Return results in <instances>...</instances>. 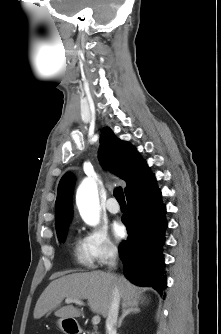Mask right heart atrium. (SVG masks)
I'll return each instance as SVG.
<instances>
[{
	"label": "right heart atrium",
	"instance_id": "1",
	"mask_svg": "<svg viewBox=\"0 0 221 334\" xmlns=\"http://www.w3.org/2000/svg\"><path fill=\"white\" fill-rule=\"evenodd\" d=\"M84 243L92 261L98 265H104L118 253L117 245L103 226L90 228L86 232Z\"/></svg>",
	"mask_w": 221,
	"mask_h": 334
}]
</instances>
